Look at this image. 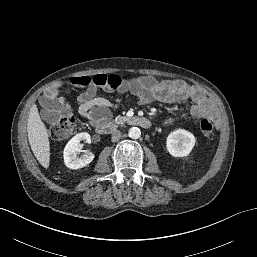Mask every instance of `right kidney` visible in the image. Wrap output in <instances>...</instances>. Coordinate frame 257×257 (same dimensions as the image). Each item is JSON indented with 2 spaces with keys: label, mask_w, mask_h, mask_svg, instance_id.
Returning a JSON list of instances; mask_svg holds the SVG:
<instances>
[{
  "label": "right kidney",
  "mask_w": 257,
  "mask_h": 257,
  "mask_svg": "<svg viewBox=\"0 0 257 257\" xmlns=\"http://www.w3.org/2000/svg\"><path fill=\"white\" fill-rule=\"evenodd\" d=\"M81 141L90 143V135L86 132L79 133L70 139L64 148V163L70 169L82 168L88 165L94 159V154L90 151H85L83 155L80 157L78 156V152H81Z\"/></svg>",
  "instance_id": "right-kidney-1"
}]
</instances>
